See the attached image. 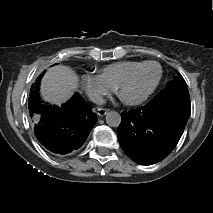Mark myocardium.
<instances>
[{
    "mask_svg": "<svg viewBox=\"0 0 213 213\" xmlns=\"http://www.w3.org/2000/svg\"><path fill=\"white\" fill-rule=\"evenodd\" d=\"M149 64H152V65H155L157 66L158 68V76H157V79L153 85V87L149 90V92L147 94H145L144 96H142L141 98H138V99H134V100H126L123 98L122 96V90L123 88L131 81V79L134 77V75L136 74V72L146 66V65H149ZM162 75H163V70H162V67L161 65L158 63V62H155V61H143L141 63H139L136 67H134L118 84L117 86V93H118V96L120 97V99L127 105H130V106H136V105H140L142 104L143 102H145L154 92L155 90L157 89V87L159 86L160 82H161V79H162Z\"/></svg>",
    "mask_w": 213,
    "mask_h": 213,
    "instance_id": "myocardium-1",
    "label": "myocardium"
}]
</instances>
